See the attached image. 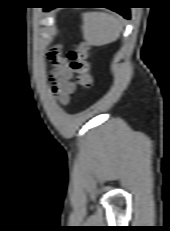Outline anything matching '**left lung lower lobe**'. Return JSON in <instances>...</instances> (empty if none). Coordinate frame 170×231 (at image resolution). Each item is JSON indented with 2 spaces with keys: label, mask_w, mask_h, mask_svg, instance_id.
Returning <instances> with one entry per match:
<instances>
[{
  "label": "left lung lower lobe",
  "mask_w": 170,
  "mask_h": 231,
  "mask_svg": "<svg viewBox=\"0 0 170 231\" xmlns=\"http://www.w3.org/2000/svg\"><path fill=\"white\" fill-rule=\"evenodd\" d=\"M112 5H119V4H112ZM108 8L120 13L127 19H130V12L127 7H108ZM50 9L52 8H46L45 10H50Z\"/></svg>",
  "instance_id": "1"
}]
</instances>
